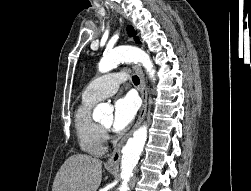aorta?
Wrapping results in <instances>:
<instances>
[{"label": "aorta", "mask_w": 251, "mask_h": 191, "mask_svg": "<svg viewBox=\"0 0 251 191\" xmlns=\"http://www.w3.org/2000/svg\"><path fill=\"white\" fill-rule=\"evenodd\" d=\"M120 62H140L146 72L149 74V78H154L155 70L150 60V56L140 50V48H132V46H118L110 52L103 54L102 60L98 64L99 72L105 74L110 72L113 68H116ZM104 111H113L110 105L107 103H99L95 109V115L97 119H100ZM147 139V125H141L139 129H136L133 133V137L128 139L126 145L122 149L121 157V177L123 179L122 185H120V191H128V181L132 175V171L138 163V159L143 151L145 141Z\"/></svg>", "instance_id": "1"}]
</instances>
